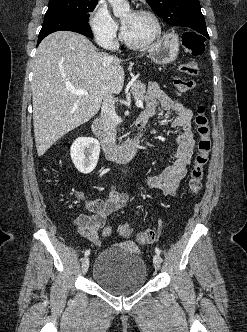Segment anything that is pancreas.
I'll return each mask as SVG.
<instances>
[{
    "label": "pancreas",
    "mask_w": 247,
    "mask_h": 332,
    "mask_svg": "<svg viewBox=\"0 0 247 332\" xmlns=\"http://www.w3.org/2000/svg\"><path fill=\"white\" fill-rule=\"evenodd\" d=\"M132 95L136 100H144L146 93V86L140 81H136L131 86Z\"/></svg>",
    "instance_id": "obj_1"
}]
</instances>
